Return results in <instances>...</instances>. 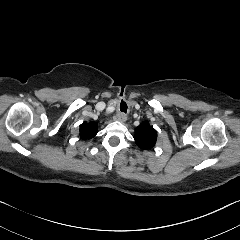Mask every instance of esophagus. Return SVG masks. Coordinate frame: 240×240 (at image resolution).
<instances>
[{
    "label": "esophagus",
    "mask_w": 240,
    "mask_h": 240,
    "mask_svg": "<svg viewBox=\"0 0 240 240\" xmlns=\"http://www.w3.org/2000/svg\"><path fill=\"white\" fill-rule=\"evenodd\" d=\"M113 119L115 121H119V122H125L127 117L125 114L123 113H116L114 116H113Z\"/></svg>",
    "instance_id": "obj_1"
}]
</instances>
